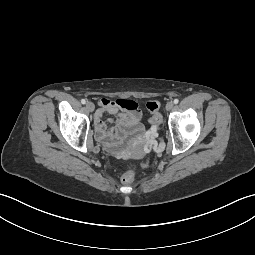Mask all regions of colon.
<instances>
[{
    "label": "colon",
    "mask_w": 255,
    "mask_h": 255,
    "mask_svg": "<svg viewBox=\"0 0 255 255\" xmlns=\"http://www.w3.org/2000/svg\"><path fill=\"white\" fill-rule=\"evenodd\" d=\"M146 107L151 115L149 122L152 126V129L156 130L158 125L162 121V116L159 112L160 104L157 101H149L146 104ZM134 178H135V170L129 169L121 176V182L124 185H130L134 181Z\"/></svg>",
    "instance_id": "colon-1"
}]
</instances>
